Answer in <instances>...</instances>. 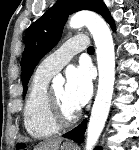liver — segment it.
Here are the masks:
<instances>
[{
	"instance_id": "1",
	"label": "liver",
	"mask_w": 139,
	"mask_h": 150,
	"mask_svg": "<svg viewBox=\"0 0 139 150\" xmlns=\"http://www.w3.org/2000/svg\"><path fill=\"white\" fill-rule=\"evenodd\" d=\"M62 142L61 138H53L40 142L34 147V150H58Z\"/></svg>"
}]
</instances>
